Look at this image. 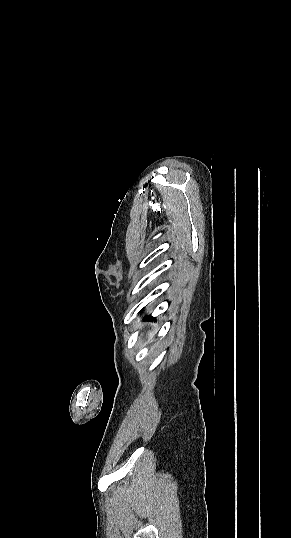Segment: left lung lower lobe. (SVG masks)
Returning a JSON list of instances; mask_svg holds the SVG:
<instances>
[{
	"instance_id": "1",
	"label": "left lung lower lobe",
	"mask_w": 291,
	"mask_h": 538,
	"mask_svg": "<svg viewBox=\"0 0 291 538\" xmlns=\"http://www.w3.org/2000/svg\"><path fill=\"white\" fill-rule=\"evenodd\" d=\"M144 319H146V320H155V318L152 317L151 315L150 316H145Z\"/></svg>"
}]
</instances>
